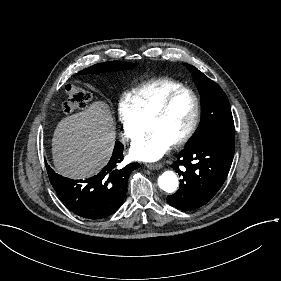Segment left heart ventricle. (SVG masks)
Masks as SVG:
<instances>
[{
	"instance_id": "left-heart-ventricle-1",
	"label": "left heart ventricle",
	"mask_w": 281,
	"mask_h": 281,
	"mask_svg": "<svg viewBox=\"0 0 281 281\" xmlns=\"http://www.w3.org/2000/svg\"><path fill=\"white\" fill-rule=\"evenodd\" d=\"M193 112V99L190 95L184 94L174 100L160 119L146 127L147 133H161L172 143L182 137L187 131Z\"/></svg>"
}]
</instances>
